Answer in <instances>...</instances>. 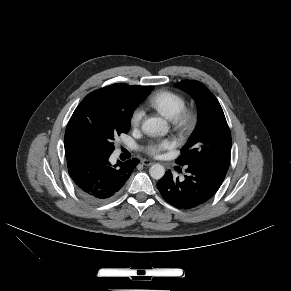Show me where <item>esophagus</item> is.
I'll use <instances>...</instances> for the list:
<instances>
[{
  "label": "esophagus",
  "mask_w": 291,
  "mask_h": 291,
  "mask_svg": "<svg viewBox=\"0 0 291 291\" xmlns=\"http://www.w3.org/2000/svg\"><path fill=\"white\" fill-rule=\"evenodd\" d=\"M141 163H142L143 165H145V166H150V165L153 164V162L150 161V160H148V159H143V160L141 161Z\"/></svg>",
  "instance_id": "obj_1"
}]
</instances>
